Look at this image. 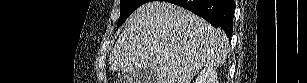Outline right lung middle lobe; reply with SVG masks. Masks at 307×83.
<instances>
[{
  "mask_svg": "<svg viewBox=\"0 0 307 83\" xmlns=\"http://www.w3.org/2000/svg\"><path fill=\"white\" fill-rule=\"evenodd\" d=\"M149 1L150 0H121V14L117 26L122 24L135 9Z\"/></svg>",
  "mask_w": 307,
  "mask_h": 83,
  "instance_id": "1",
  "label": "right lung middle lobe"
}]
</instances>
